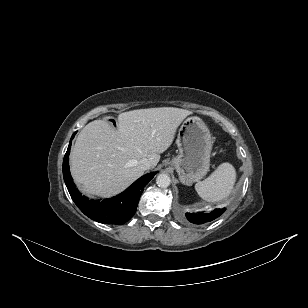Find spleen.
<instances>
[{"label":"spleen","mask_w":308,"mask_h":308,"mask_svg":"<svg viewBox=\"0 0 308 308\" xmlns=\"http://www.w3.org/2000/svg\"><path fill=\"white\" fill-rule=\"evenodd\" d=\"M236 171L232 164L222 163L205 180L196 183L195 190L207 202H219L233 191Z\"/></svg>","instance_id":"3e777b00"}]
</instances>
